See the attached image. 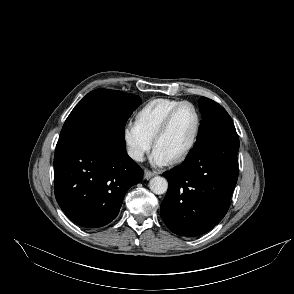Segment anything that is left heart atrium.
<instances>
[{"mask_svg":"<svg viewBox=\"0 0 294 294\" xmlns=\"http://www.w3.org/2000/svg\"><path fill=\"white\" fill-rule=\"evenodd\" d=\"M151 162L157 166H165L171 162V159L164 155L159 149L154 148L151 155Z\"/></svg>","mask_w":294,"mask_h":294,"instance_id":"left-heart-atrium-1","label":"left heart atrium"}]
</instances>
